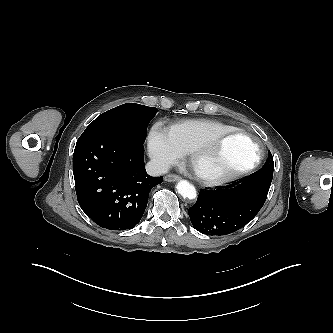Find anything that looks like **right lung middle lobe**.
<instances>
[{
	"mask_svg": "<svg viewBox=\"0 0 333 333\" xmlns=\"http://www.w3.org/2000/svg\"><path fill=\"white\" fill-rule=\"evenodd\" d=\"M158 109L135 103H126L98 116L82 133L114 134L145 141L149 122Z\"/></svg>",
	"mask_w": 333,
	"mask_h": 333,
	"instance_id": "obj_1",
	"label": "right lung middle lobe"
}]
</instances>
